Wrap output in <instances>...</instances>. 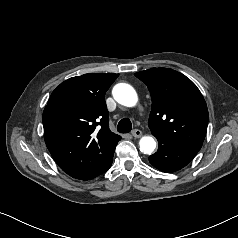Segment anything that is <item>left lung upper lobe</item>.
<instances>
[{
    "mask_svg": "<svg viewBox=\"0 0 238 238\" xmlns=\"http://www.w3.org/2000/svg\"><path fill=\"white\" fill-rule=\"evenodd\" d=\"M151 94V133L161 144L198 152L203 144L208 109L197 86L185 75L168 68L135 73Z\"/></svg>",
    "mask_w": 238,
    "mask_h": 238,
    "instance_id": "5c2ea615",
    "label": "left lung upper lobe"
}]
</instances>
